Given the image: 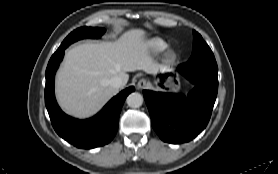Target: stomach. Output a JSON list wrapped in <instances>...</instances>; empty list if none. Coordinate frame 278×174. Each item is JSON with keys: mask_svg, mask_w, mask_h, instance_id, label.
<instances>
[{"mask_svg": "<svg viewBox=\"0 0 278 174\" xmlns=\"http://www.w3.org/2000/svg\"><path fill=\"white\" fill-rule=\"evenodd\" d=\"M162 73H164V69L161 70ZM155 84L158 86V84H161L164 88L168 89L169 91L177 92L180 89V83L179 80L169 73L162 79V82L160 79L155 81Z\"/></svg>", "mask_w": 278, "mask_h": 174, "instance_id": "0dacf381", "label": "stomach"}]
</instances>
